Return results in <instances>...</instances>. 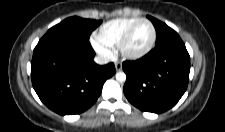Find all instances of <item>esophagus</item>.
<instances>
[{
  "label": "esophagus",
  "mask_w": 225,
  "mask_h": 132,
  "mask_svg": "<svg viewBox=\"0 0 225 132\" xmlns=\"http://www.w3.org/2000/svg\"><path fill=\"white\" fill-rule=\"evenodd\" d=\"M115 69L116 71H121L122 70V64L120 62L115 63Z\"/></svg>",
  "instance_id": "34e87169"
}]
</instances>
